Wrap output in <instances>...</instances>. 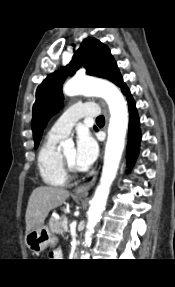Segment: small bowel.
I'll return each mask as SVG.
<instances>
[{
  "instance_id": "small-bowel-1",
  "label": "small bowel",
  "mask_w": 175,
  "mask_h": 287,
  "mask_svg": "<svg viewBox=\"0 0 175 287\" xmlns=\"http://www.w3.org/2000/svg\"><path fill=\"white\" fill-rule=\"evenodd\" d=\"M53 256H55V257H61L62 256V254H61V252L59 251V250H55L54 252H53Z\"/></svg>"
}]
</instances>
